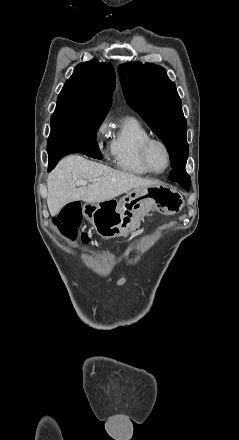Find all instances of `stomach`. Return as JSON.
<instances>
[{"instance_id":"1","label":"stomach","mask_w":239,"mask_h":440,"mask_svg":"<svg viewBox=\"0 0 239 440\" xmlns=\"http://www.w3.org/2000/svg\"><path fill=\"white\" fill-rule=\"evenodd\" d=\"M184 206L183 196L167 186L154 188H135L129 190L121 200L106 202H87L82 206V214L97 234L105 240L127 238L140 226L141 218L150 210H157L164 216L181 212Z\"/></svg>"}]
</instances>
